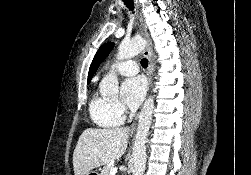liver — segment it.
I'll return each mask as SVG.
<instances>
[{
  "label": "liver",
  "instance_id": "obj_1",
  "mask_svg": "<svg viewBox=\"0 0 251 175\" xmlns=\"http://www.w3.org/2000/svg\"><path fill=\"white\" fill-rule=\"evenodd\" d=\"M130 131V127L84 129L73 151L75 175H87L90 169L119 159L127 147Z\"/></svg>",
  "mask_w": 251,
  "mask_h": 175
}]
</instances>
